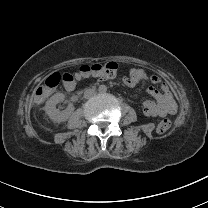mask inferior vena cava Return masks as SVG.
<instances>
[{
    "label": "inferior vena cava",
    "mask_w": 208,
    "mask_h": 208,
    "mask_svg": "<svg viewBox=\"0 0 208 208\" xmlns=\"http://www.w3.org/2000/svg\"><path fill=\"white\" fill-rule=\"evenodd\" d=\"M95 94H96V91H95L94 89H92V88H87V89H85V91H84V98L90 99V98H92L93 96H95Z\"/></svg>",
    "instance_id": "1"
}]
</instances>
